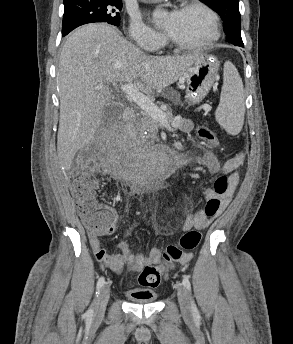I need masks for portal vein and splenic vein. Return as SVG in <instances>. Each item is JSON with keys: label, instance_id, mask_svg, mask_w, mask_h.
Here are the masks:
<instances>
[{"label": "portal vein and splenic vein", "instance_id": "18ae733b", "mask_svg": "<svg viewBox=\"0 0 293 344\" xmlns=\"http://www.w3.org/2000/svg\"><path fill=\"white\" fill-rule=\"evenodd\" d=\"M120 89L128 98L134 101L146 114L159 121L161 124H167L166 114L157 107L148 97L136 90L133 83L121 85Z\"/></svg>", "mask_w": 293, "mask_h": 344}]
</instances>
